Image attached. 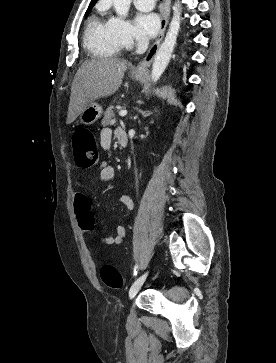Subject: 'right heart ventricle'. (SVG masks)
Segmentation results:
<instances>
[{"mask_svg":"<svg viewBox=\"0 0 276 363\" xmlns=\"http://www.w3.org/2000/svg\"><path fill=\"white\" fill-rule=\"evenodd\" d=\"M84 47L94 57L107 58L117 55L122 48V44L110 20H103L93 16L85 30Z\"/></svg>","mask_w":276,"mask_h":363,"instance_id":"obj_1","label":"right heart ventricle"}]
</instances>
